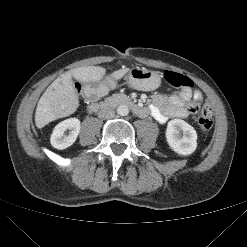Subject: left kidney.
Returning <instances> with one entry per match:
<instances>
[{"label":"left kidney","instance_id":"obj_1","mask_svg":"<svg viewBox=\"0 0 247 247\" xmlns=\"http://www.w3.org/2000/svg\"><path fill=\"white\" fill-rule=\"evenodd\" d=\"M166 140L170 148L180 155H190L197 147L195 129L181 119H173L168 122Z\"/></svg>","mask_w":247,"mask_h":247}]
</instances>
